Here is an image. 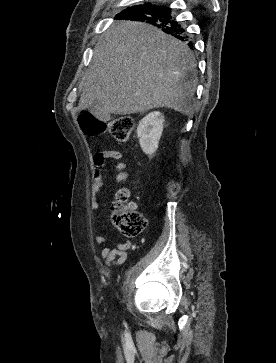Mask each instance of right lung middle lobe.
Segmentation results:
<instances>
[{
	"label": "right lung middle lobe",
	"instance_id": "dd1d6c3e",
	"mask_svg": "<svg viewBox=\"0 0 276 363\" xmlns=\"http://www.w3.org/2000/svg\"><path fill=\"white\" fill-rule=\"evenodd\" d=\"M154 6H157V5H152L151 3H146L144 5L129 7L127 9L123 10L121 12V14L117 15L116 19H122L124 17L136 16L137 14L144 13L145 11L149 10L150 8H152Z\"/></svg>",
	"mask_w": 276,
	"mask_h": 363
}]
</instances>
